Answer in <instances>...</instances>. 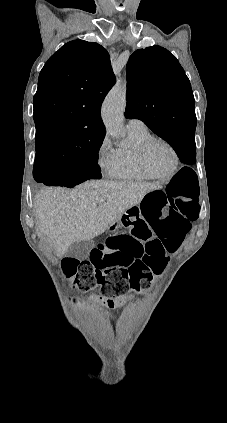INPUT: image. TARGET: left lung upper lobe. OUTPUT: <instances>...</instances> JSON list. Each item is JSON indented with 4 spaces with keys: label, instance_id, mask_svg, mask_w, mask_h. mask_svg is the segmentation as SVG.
<instances>
[{
    "label": "left lung upper lobe",
    "instance_id": "1",
    "mask_svg": "<svg viewBox=\"0 0 227 423\" xmlns=\"http://www.w3.org/2000/svg\"><path fill=\"white\" fill-rule=\"evenodd\" d=\"M126 118L142 120L170 145L195 136V100L190 81L176 57L151 46L135 51L126 66Z\"/></svg>",
    "mask_w": 227,
    "mask_h": 423
}]
</instances>
